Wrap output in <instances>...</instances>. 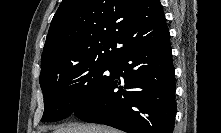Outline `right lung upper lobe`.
<instances>
[{
    "mask_svg": "<svg viewBox=\"0 0 221 133\" xmlns=\"http://www.w3.org/2000/svg\"><path fill=\"white\" fill-rule=\"evenodd\" d=\"M169 37L159 0H63L41 57V74L62 64L114 62Z\"/></svg>",
    "mask_w": 221,
    "mask_h": 133,
    "instance_id": "1",
    "label": "right lung upper lobe"
}]
</instances>
